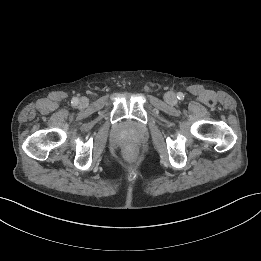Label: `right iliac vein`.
Returning a JSON list of instances; mask_svg holds the SVG:
<instances>
[{
    "mask_svg": "<svg viewBox=\"0 0 261 261\" xmlns=\"http://www.w3.org/2000/svg\"><path fill=\"white\" fill-rule=\"evenodd\" d=\"M80 104H81L82 106H86V105L88 104L87 98H85V97L81 98V99H80Z\"/></svg>",
    "mask_w": 261,
    "mask_h": 261,
    "instance_id": "1",
    "label": "right iliac vein"
}]
</instances>
